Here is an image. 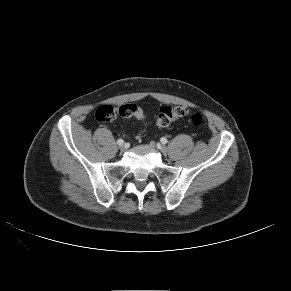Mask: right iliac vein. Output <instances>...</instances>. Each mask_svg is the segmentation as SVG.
Masks as SVG:
<instances>
[{
  "instance_id": "1",
  "label": "right iliac vein",
  "mask_w": 291,
  "mask_h": 291,
  "mask_svg": "<svg viewBox=\"0 0 291 291\" xmlns=\"http://www.w3.org/2000/svg\"><path fill=\"white\" fill-rule=\"evenodd\" d=\"M119 149H120L121 151H124V150H125V145H124V144L119 145Z\"/></svg>"
}]
</instances>
